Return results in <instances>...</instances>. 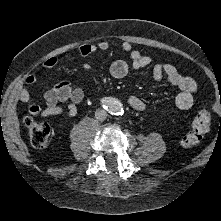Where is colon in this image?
I'll use <instances>...</instances> for the list:
<instances>
[{"label": "colon", "mask_w": 221, "mask_h": 221, "mask_svg": "<svg viewBox=\"0 0 221 221\" xmlns=\"http://www.w3.org/2000/svg\"><path fill=\"white\" fill-rule=\"evenodd\" d=\"M24 125L29 133L31 144L35 148H44L50 138V127L47 123L39 121L32 116L24 119ZM210 126V112L203 104L199 112L193 117L190 131L183 137L182 145L184 147H193L197 145Z\"/></svg>", "instance_id": "1"}]
</instances>
